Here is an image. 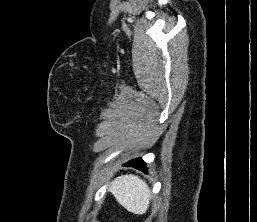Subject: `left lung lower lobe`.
Returning <instances> with one entry per match:
<instances>
[{
  "mask_svg": "<svg viewBox=\"0 0 257 222\" xmlns=\"http://www.w3.org/2000/svg\"><path fill=\"white\" fill-rule=\"evenodd\" d=\"M124 165L125 166H132L134 168H137V169H140V170H143V171H147L146 163H144L141 158L131 160Z\"/></svg>",
  "mask_w": 257,
  "mask_h": 222,
  "instance_id": "0a47b994",
  "label": "left lung lower lobe"
}]
</instances>
